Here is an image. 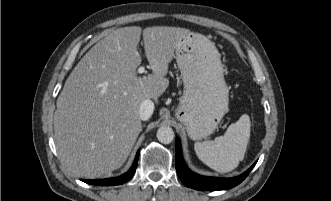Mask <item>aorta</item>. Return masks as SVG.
I'll use <instances>...</instances> for the list:
<instances>
[{"label":"aorta","instance_id":"aorta-1","mask_svg":"<svg viewBox=\"0 0 331 201\" xmlns=\"http://www.w3.org/2000/svg\"><path fill=\"white\" fill-rule=\"evenodd\" d=\"M157 139L162 144H170L174 140L173 129L168 126H161L157 130Z\"/></svg>","mask_w":331,"mask_h":201}]
</instances>
